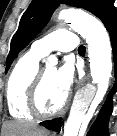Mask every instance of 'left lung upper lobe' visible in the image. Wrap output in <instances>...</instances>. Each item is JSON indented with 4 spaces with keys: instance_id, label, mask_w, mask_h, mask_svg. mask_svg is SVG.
<instances>
[{
    "instance_id": "obj_1",
    "label": "left lung upper lobe",
    "mask_w": 117,
    "mask_h": 136,
    "mask_svg": "<svg viewBox=\"0 0 117 136\" xmlns=\"http://www.w3.org/2000/svg\"><path fill=\"white\" fill-rule=\"evenodd\" d=\"M60 3L83 8L99 17L103 23L117 14L113 0H33L23 14L14 34L7 57L6 71L17 54L44 28Z\"/></svg>"
}]
</instances>
